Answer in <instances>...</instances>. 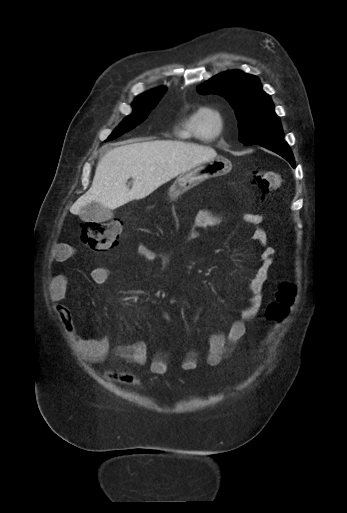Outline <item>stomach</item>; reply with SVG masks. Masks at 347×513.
<instances>
[{
  "label": "stomach",
  "mask_w": 347,
  "mask_h": 513,
  "mask_svg": "<svg viewBox=\"0 0 347 513\" xmlns=\"http://www.w3.org/2000/svg\"><path fill=\"white\" fill-rule=\"evenodd\" d=\"M231 168V162L221 156L198 164L176 178L173 184V194L189 190L206 179L226 174Z\"/></svg>",
  "instance_id": "stomach-1"
}]
</instances>
